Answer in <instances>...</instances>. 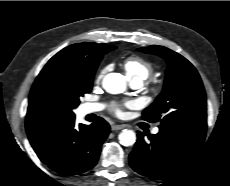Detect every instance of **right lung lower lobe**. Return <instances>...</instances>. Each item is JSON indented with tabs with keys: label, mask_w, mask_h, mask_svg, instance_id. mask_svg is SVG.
Returning a JSON list of instances; mask_svg holds the SVG:
<instances>
[{
	"label": "right lung lower lobe",
	"mask_w": 230,
	"mask_h": 186,
	"mask_svg": "<svg viewBox=\"0 0 230 186\" xmlns=\"http://www.w3.org/2000/svg\"><path fill=\"white\" fill-rule=\"evenodd\" d=\"M109 132V124L101 117L92 125L80 124L78 128L73 117L47 125L28 138L39 159L49 168L74 175L96 165Z\"/></svg>",
	"instance_id": "1"
}]
</instances>
